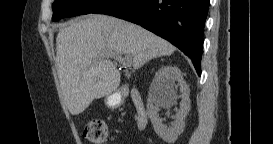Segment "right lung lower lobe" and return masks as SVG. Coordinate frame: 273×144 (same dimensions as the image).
<instances>
[{
  "instance_id": "98d812e1",
  "label": "right lung lower lobe",
  "mask_w": 273,
  "mask_h": 144,
  "mask_svg": "<svg viewBox=\"0 0 273 144\" xmlns=\"http://www.w3.org/2000/svg\"><path fill=\"white\" fill-rule=\"evenodd\" d=\"M209 0H109L92 13L121 18L170 41L201 74L203 32Z\"/></svg>"
}]
</instances>
